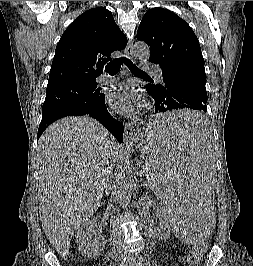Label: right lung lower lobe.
Masks as SVG:
<instances>
[{"label":"right lung lower lobe","instance_id":"obj_1","mask_svg":"<svg viewBox=\"0 0 253 266\" xmlns=\"http://www.w3.org/2000/svg\"><path fill=\"white\" fill-rule=\"evenodd\" d=\"M83 115H87V116L97 119L103 126H105L112 133V135L118 140V142L120 143L123 142V132H124L123 123L118 120H115L109 114L107 107L105 105V95H104L103 100L97 106H95L94 108L90 110L81 112L75 116H83ZM51 123L40 124L39 129H38L37 139L40 138L43 131Z\"/></svg>","mask_w":253,"mask_h":266}]
</instances>
